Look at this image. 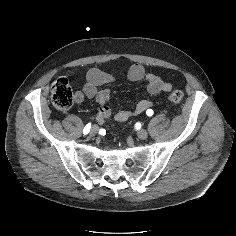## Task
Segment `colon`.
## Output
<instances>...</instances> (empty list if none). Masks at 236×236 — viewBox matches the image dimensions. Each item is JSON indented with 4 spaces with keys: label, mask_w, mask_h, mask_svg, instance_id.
I'll use <instances>...</instances> for the list:
<instances>
[{
    "label": "colon",
    "mask_w": 236,
    "mask_h": 236,
    "mask_svg": "<svg viewBox=\"0 0 236 236\" xmlns=\"http://www.w3.org/2000/svg\"><path fill=\"white\" fill-rule=\"evenodd\" d=\"M51 98L54 106L59 110L69 109L74 102V94L72 88L66 78L59 77L55 79L51 85ZM168 99L171 103H180L183 99L181 90H173Z\"/></svg>",
    "instance_id": "obj_1"
}]
</instances>
